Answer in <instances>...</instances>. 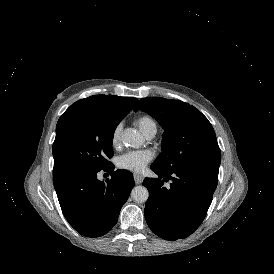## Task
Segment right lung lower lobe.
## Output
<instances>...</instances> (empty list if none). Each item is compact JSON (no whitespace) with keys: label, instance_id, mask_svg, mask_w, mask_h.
<instances>
[{"label":"right lung lower lobe","instance_id":"right-lung-lower-lobe-1","mask_svg":"<svg viewBox=\"0 0 274 274\" xmlns=\"http://www.w3.org/2000/svg\"><path fill=\"white\" fill-rule=\"evenodd\" d=\"M114 168L112 164L105 169L83 167L53 174L62 212L84 236L100 237L111 230L135 184L131 172ZM101 170L111 174L105 183L97 178Z\"/></svg>","mask_w":274,"mask_h":274}]
</instances>
